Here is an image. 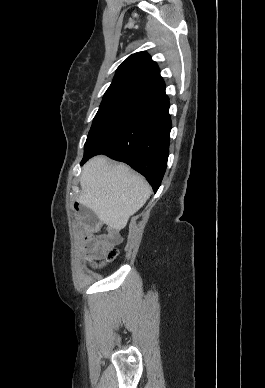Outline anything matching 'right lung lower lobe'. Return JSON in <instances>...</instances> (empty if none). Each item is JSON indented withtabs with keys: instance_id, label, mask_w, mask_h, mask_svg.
Listing matches in <instances>:
<instances>
[{
	"instance_id": "right-lung-lower-lobe-1",
	"label": "right lung lower lobe",
	"mask_w": 265,
	"mask_h": 388,
	"mask_svg": "<svg viewBox=\"0 0 265 388\" xmlns=\"http://www.w3.org/2000/svg\"><path fill=\"white\" fill-rule=\"evenodd\" d=\"M171 127L169 98L163 93L101 140L81 165L97 154L108 155L144 175L156 192L167 167Z\"/></svg>"
}]
</instances>
